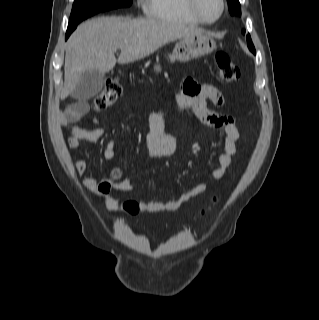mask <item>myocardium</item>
Wrapping results in <instances>:
<instances>
[{
  "label": "myocardium",
  "instance_id": "f54148a6",
  "mask_svg": "<svg viewBox=\"0 0 319 320\" xmlns=\"http://www.w3.org/2000/svg\"><path fill=\"white\" fill-rule=\"evenodd\" d=\"M219 1H220V11L214 19H207L202 15L200 10L198 9V0H187V7L192 17L196 19L198 22L202 24H214L222 18L226 10L225 0H219Z\"/></svg>",
  "mask_w": 319,
  "mask_h": 320
}]
</instances>
